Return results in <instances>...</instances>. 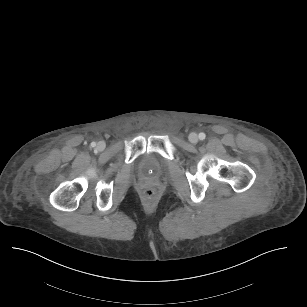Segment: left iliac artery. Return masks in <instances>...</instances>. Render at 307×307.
Returning a JSON list of instances; mask_svg holds the SVG:
<instances>
[{
    "label": "left iliac artery",
    "instance_id": "44dca946",
    "mask_svg": "<svg viewBox=\"0 0 307 307\" xmlns=\"http://www.w3.org/2000/svg\"><path fill=\"white\" fill-rule=\"evenodd\" d=\"M205 137H206V135H205V133H199V139L200 140H204L205 139Z\"/></svg>",
    "mask_w": 307,
    "mask_h": 307
}]
</instances>
